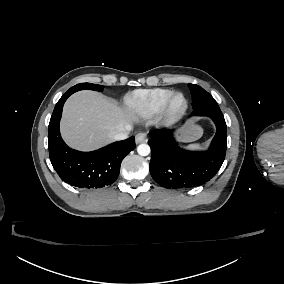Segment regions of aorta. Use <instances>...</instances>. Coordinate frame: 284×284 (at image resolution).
Instances as JSON below:
<instances>
[{"mask_svg":"<svg viewBox=\"0 0 284 284\" xmlns=\"http://www.w3.org/2000/svg\"><path fill=\"white\" fill-rule=\"evenodd\" d=\"M150 146L148 144H140L138 147H137V152L140 156H147L150 154Z\"/></svg>","mask_w":284,"mask_h":284,"instance_id":"762f6f07","label":"aorta"}]
</instances>
